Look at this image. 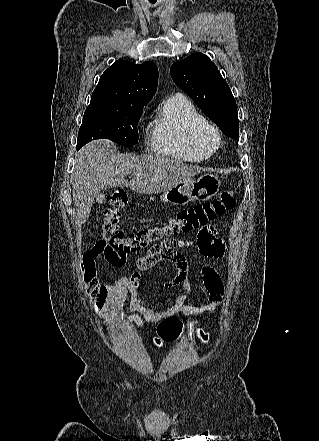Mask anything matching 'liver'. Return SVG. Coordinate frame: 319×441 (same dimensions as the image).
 <instances>
[{"instance_id": "obj_1", "label": "liver", "mask_w": 319, "mask_h": 441, "mask_svg": "<svg viewBox=\"0 0 319 441\" xmlns=\"http://www.w3.org/2000/svg\"><path fill=\"white\" fill-rule=\"evenodd\" d=\"M75 163L72 192L80 223L88 220L94 200L102 189L129 186L139 194H156L204 170L159 155L121 154L111 141L104 139L85 145L78 152ZM130 173L133 178L127 182L125 177Z\"/></svg>"}]
</instances>
